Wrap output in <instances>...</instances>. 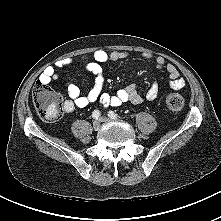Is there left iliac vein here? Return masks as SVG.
<instances>
[{
  "mask_svg": "<svg viewBox=\"0 0 221 221\" xmlns=\"http://www.w3.org/2000/svg\"><path fill=\"white\" fill-rule=\"evenodd\" d=\"M112 119L108 118V117H101V121L102 122H109L111 121Z\"/></svg>",
  "mask_w": 221,
  "mask_h": 221,
  "instance_id": "left-iliac-vein-1",
  "label": "left iliac vein"
}]
</instances>
